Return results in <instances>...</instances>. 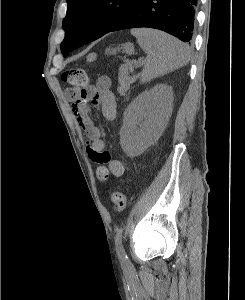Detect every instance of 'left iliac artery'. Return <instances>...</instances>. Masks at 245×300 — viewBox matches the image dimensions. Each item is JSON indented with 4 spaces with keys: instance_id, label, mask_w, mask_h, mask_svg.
I'll return each mask as SVG.
<instances>
[{
    "instance_id": "obj_1",
    "label": "left iliac artery",
    "mask_w": 245,
    "mask_h": 300,
    "mask_svg": "<svg viewBox=\"0 0 245 300\" xmlns=\"http://www.w3.org/2000/svg\"><path fill=\"white\" fill-rule=\"evenodd\" d=\"M123 227H120L118 230H117V233H116V237H115V248H116V252H117V255H118V258L121 262L122 265H127L128 264V257L125 253V250L123 248V245H122V234H123Z\"/></svg>"
}]
</instances>
